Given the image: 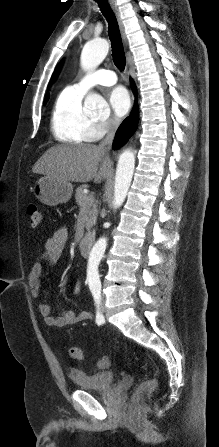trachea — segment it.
<instances>
[{"label": "trachea", "instance_id": "1", "mask_svg": "<svg viewBox=\"0 0 219 447\" xmlns=\"http://www.w3.org/2000/svg\"><path fill=\"white\" fill-rule=\"evenodd\" d=\"M109 24V38L111 40L112 57L114 64L120 70H124L126 57L120 35L119 25L108 0H95Z\"/></svg>", "mask_w": 219, "mask_h": 447}]
</instances>
